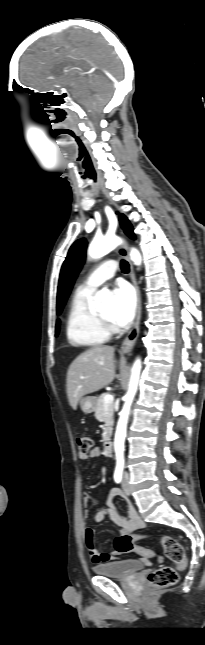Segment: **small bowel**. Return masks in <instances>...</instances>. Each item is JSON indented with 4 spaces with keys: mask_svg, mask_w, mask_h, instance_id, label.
Returning a JSON list of instances; mask_svg holds the SVG:
<instances>
[{
    "mask_svg": "<svg viewBox=\"0 0 205 645\" xmlns=\"http://www.w3.org/2000/svg\"><path fill=\"white\" fill-rule=\"evenodd\" d=\"M101 456V451L98 447H93L88 453H79L78 458L80 461H86L90 458H99ZM121 497L124 499L127 505V514L124 515L114 504V498ZM83 507L87 512L91 507L99 504L100 500L85 492L82 495ZM105 518H109L114 525L120 529L121 535H136L133 532L141 530L144 528L145 523L138 515L136 509L132 503L126 498L123 492L118 488H112L105 500V507L99 509L95 516V523L99 524L104 521ZM94 531L91 527H86L84 531V542L87 548L89 557L94 564L105 563L114 561L120 555L115 549L110 552H100L96 549L93 541ZM142 562L145 564L150 563L149 558L142 557Z\"/></svg>",
    "mask_w": 205,
    "mask_h": 645,
    "instance_id": "c3829d8e",
    "label": "small bowel"
}]
</instances>
